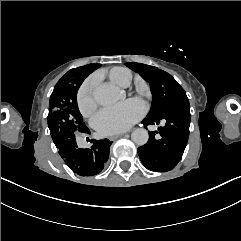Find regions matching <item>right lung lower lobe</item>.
Wrapping results in <instances>:
<instances>
[{"mask_svg": "<svg viewBox=\"0 0 241 241\" xmlns=\"http://www.w3.org/2000/svg\"><path fill=\"white\" fill-rule=\"evenodd\" d=\"M111 144L108 139L93 140L90 148L83 149L76 142H71L61 144L58 149L61 158L71 170L80 176H93L104 169Z\"/></svg>", "mask_w": 241, "mask_h": 241, "instance_id": "98d812e1", "label": "right lung lower lobe"}]
</instances>
